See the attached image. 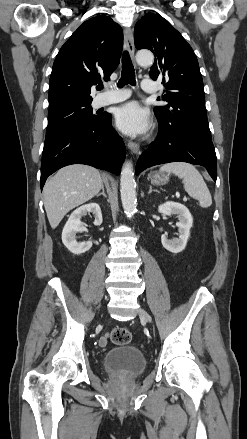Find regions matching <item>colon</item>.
<instances>
[{
    "label": "colon",
    "instance_id": "colon-1",
    "mask_svg": "<svg viewBox=\"0 0 247 439\" xmlns=\"http://www.w3.org/2000/svg\"><path fill=\"white\" fill-rule=\"evenodd\" d=\"M110 338L116 345H127L132 340V334L127 328L118 327L111 332Z\"/></svg>",
    "mask_w": 247,
    "mask_h": 439
}]
</instances>
